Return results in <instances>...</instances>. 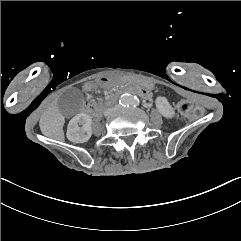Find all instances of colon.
Returning <instances> with one entry per match:
<instances>
[{
    "instance_id": "obj_1",
    "label": "colon",
    "mask_w": 241,
    "mask_h": 241,
    "mask_svg": "<svg viewBox=\"0 0 241 241\" xmlns=\"http://www.w3.org/2000/svg\"><path fill=\"white\" fill-rule=\"evenodd\" d=\"M179 112L186 118H200L203 115L204 109L202 106L187 102L181 101L178 103Z\"/></svg>"
}]
</instances>
